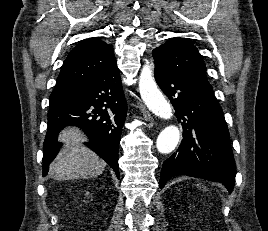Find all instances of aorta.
<instances>
[{
	"instance_id": "762f6f07",
	"label": "aorta",
	"mask_w": 268,
	"mask_h": 231,
	"mask_svg": "<svg viewBox=\"0 0 268 231\" xmlns=\"http://www.w3.org/2000/svg\"><path fill=\"white\" fill-rule=\"evenodd\" d=\"M154 65L147 63L143 66L139 79V91L141 98L148 109L161 119H171L172 109L162 92L158 89L153 77ZM180 139V131L177 126L165 127L159 134L156 147L162 154L172 152Z\"/></svg>"
}]
</instances>
